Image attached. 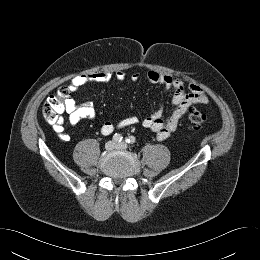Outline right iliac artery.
<instances>
[{
    "mask_svg": "<svg viewBox=\"0 0 260 260\" xmlns=\"http://www.w3.org/2000/svg\"><path fill=\"white\" fill-rule=\"evenodd\" d=\"M113 140L115 141V142H117V143H120L122 140H123V137H122V135L121 134H115L114 136H113Z\"/></svg>",
    "mask_w": 260,
    "mask_h": 260,
    "instance_id": "right-iliac-artery-1",
    "label": "right iliac artery"
}]
</instances>
